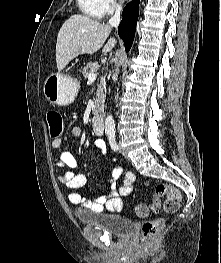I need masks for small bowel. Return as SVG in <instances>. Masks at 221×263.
<instances>
[{"mask_svg":"<svg viewBox=\"0 0 221 263\" xmlns=\"http://www.w3.org/2000/svg\"><path fill=\"white\" fill-rule=\"evenodd\" d=\"M80 135L81 129L74 126L63 138L54 139L51 142L52 149L58 152V158L56 160V166L58 168L67 167L74 169L77 167V161L74 156L69 152L61 151V147L65 141L78 138ZM94 149L100 156H105L107 153L106 145L101 138L95 139ZM112 160L117 162V158L115 157H113ZM122 173L123 170L120 166L115 167L106 181L110 189L109 192L99 196L93 201L88 200L84 195L75 191V189L81 188L86 184V177L84 174L66 171L58 176V180L70 191L68 195L69 201L81 210H90L95 213H100L104 210L117 212L121 211L124 206L121 197L128 196L132 193L135 181L134 173L127 172L121 186L117 187V181Z\"/></svg>","mask_w":221,"mask_h":263,"instance_id":"obj_1","label":"small bowel"}]
</instances>
